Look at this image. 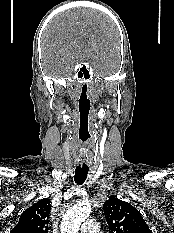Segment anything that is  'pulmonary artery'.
<instances>
[{"label":"pulmonary artery","instance_id":"obj_1","mask_svg":"<svg viewBox=\"0 0 174 233\" xmlns=\"http://www.w3.org/2000/svg\"><path fill=\"white\" fill-rule=\"evenodd\" d=\"M99 224L94 220H87L81 225V233H98Z\"/></svg>","mask_w":174,"mask_h":233}]
</instances>
